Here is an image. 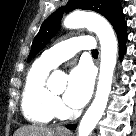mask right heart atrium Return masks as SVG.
<instances>
[{"label":"right heart atrium","mask_w":136,"mask_h":136,"mask_svg":"<svg viewBox=\"0 0 136 136\" xmlns=\"http://www.w3.org/2000/svg\"><path fill=\"white\" fill-rule=\"evenodd\" d=\"M55 108H56V111H60L62 108L61 103L57 98H55Z\"/></svg>","instance_id":"d8ad5b80"}]
</instances>
